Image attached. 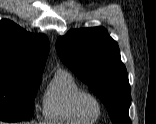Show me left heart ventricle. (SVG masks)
<instances>
[{"instance_id":"obj_1","label":"left heart ventricle","mask_w":156,"mask_h":124,"mask_svg":"<svg viewBox=\"0 0 156 124\" xmlns=\"http://www.w3.org/2000/svg\"><path fill=\"white\" fill-rule=\"evenodd\" d=\"M85 109L89 116L97 115L98 107H97V104L93 100L87 99L85 101Z\"/></svg>"}]
</instances>
